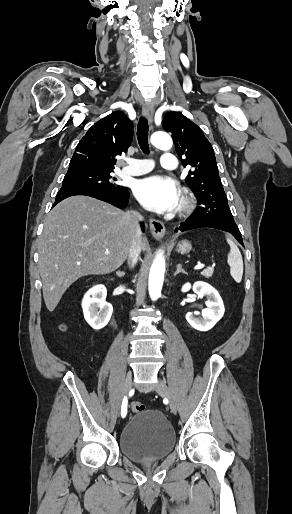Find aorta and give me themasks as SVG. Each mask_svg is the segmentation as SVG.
Segmentation results:
<instances>
[{
  "label": "aorta",
  "instance_id": "aorta-1",
  "mask_svg": "<svg viewBox=\"0 0 292 514\" xmlns=\"http://www.w3.org/2000/svg\"><path fill=\"white\" fill-rule=\"evenodd\" d=\"M151 144L159 150H170L172 148V140L166 132H155L150 138ZM165 272V260L162 254L156 256L149 274V294L151 300H157L161 296Z\"/></svg>",
  "mask_w": 292,
  "mask_h": 514
}]
</instances>
